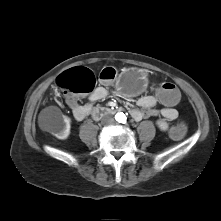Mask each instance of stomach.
<instances>
[{
    "label": "stomach",
    "instance_id": "1",
    "mask_svg": "<svg viewBox=\"0 0 221 221\" xmlns=\"http://www.w3.org/2000/svg\"><path fill=\"white\" fill-rule=\"evenodd\" d=\"M147 74L141 70H126L119 75L116 82L118 93L124 96L140 94L147 86Z\"/></svg>",
    "mask_w": 221,
    "mask_h": 221
}]
</instances>
